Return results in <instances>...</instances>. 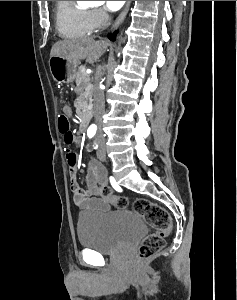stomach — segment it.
I'll use <instances>...</instances> for the list:
<instances>
[{"mask_svg":"<svg viewBox=\"0 0 237 300\" xmlns=\"http://www.w3.org/2000/svg\"><path fill=\"white\" fill-rule=\"evenodd\" d=\"M77 61L66 59V57H50V73L57 83H73L77 73Z\"/></svg>","mask_w":237,"mask_h":300,"instance_id":"1","label":"stomach"}]
</instances>
